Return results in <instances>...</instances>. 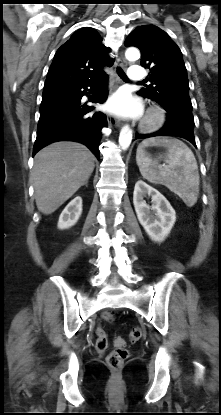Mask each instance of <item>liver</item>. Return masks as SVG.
Listing matches in <instances>:
<instances>
[{
  "label": "liver",
  "instance_id": "liver-1",
  "mask_svg": "<svg viewBox=\"0 0 221 415\" xmlns=\"http://www.w3.org/2000/svg\"><path fill=\"white\" fill-rule=\"evenodd\" d=\"M94 155L80 143L55 142L39 151L32 170L37 208L52 214L83 186L94 170Z\"/></svg>",
  "mask_w": 221,
  "mask_h": 415
}]
</instances>
